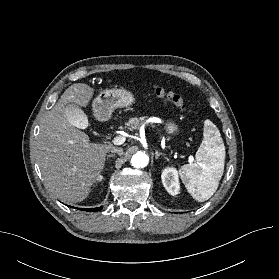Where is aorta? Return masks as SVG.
Masks as SVG:
<instances>
[{
  "label": "aorta",
  "mask_w": 279,
  "mask_h": 279,
  "mask_svg": "<svg viewBox=\"0 0 279 279\" xmlns=\"http://www.w3.org/2000/svg\"><path fill=\"white\" fill-rule=\"evenodd\" d=\"M149 157L143 152H137L131 158V164L135 168H144L148 165Z\"/></svg>",
  "instance_id": "obj_1"
}]
</instances>
